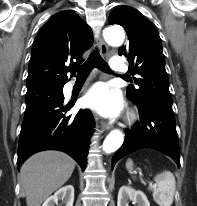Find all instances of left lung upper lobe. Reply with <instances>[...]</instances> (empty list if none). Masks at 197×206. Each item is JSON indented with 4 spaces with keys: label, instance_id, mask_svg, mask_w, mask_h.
Returning a JSON list of instances; mask_svg holds the SVG:
<instances>
[{
    "label": "left lung upper lobe",
    "instance_id": "obj_1",
    "mask_svg": "<svg viewBox=\"0 0 197 206\" xmlns=\"http://www.w3.org/2000/svg\"><path fill=\"white\" fill-rule=\"evenodd\" d=\"M108 22L125 28L129 41L118 54L127 57L132 75L139 76L133 78L139 88L128 86L127 96L172 106L161 39L153 23L129 6L115 8Z\"/></svg>",
    "mask_w": 197,
    "mask_h": 206
}]
</instances>
